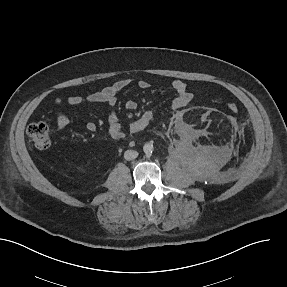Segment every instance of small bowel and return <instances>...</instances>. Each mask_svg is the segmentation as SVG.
<instances>
[{
  "instance_id": "c3829d8e",
  "label": "small bowel",
  "mask_w": 287,
  "mask_h": 287,
  "mask_svg": "<svg viewBox=\"0 0 287 287\" xmlns=\"http://www.w3.org/2000/svg\"><path fill=\"white\" fill-rule=\"evenodd\" d=\"M134 83H136L140 89H148L150 87V84L145 80H139L135 82L131 78H124L86 96H71L65 100L64 104L68 107H72L89 103H107L111 109L107 120L108 135L113 140H121L127 134H137L142 132L151 124L154 118V115L151 111H146L137 119H135L128 126V128L123 127L119 122L118 116L114 111L117 94ZM171 87L175 92V97L171 102V107L173 109L183 108L191 102L193 96L192 93L188 91L185 82L182 80H174L171 84ZM62 103L63 102L60 98L55 100V105L57 108L54 111V118L56 126L59 129L65 128L69 123L68 117L59 109ZM125 107L126 109L133 111L137 109V103L134 100H128L125 103ZM86 128L88 131H95L96 124L94 122H88L86 124Z\"/></svg>"
}]
</instances>
